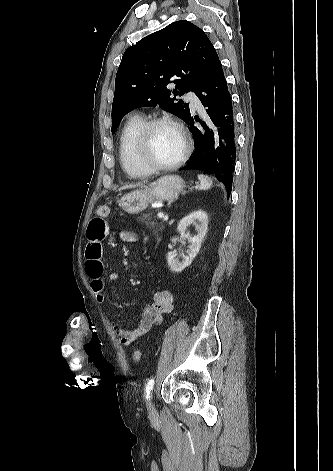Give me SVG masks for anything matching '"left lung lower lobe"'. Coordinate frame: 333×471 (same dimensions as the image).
Masks as SVG:
<instances>
[{
    "instance_id": "left-lung-lower-lobe-1",
    "label": "left lung lower lobe",
    "mask_w": 333,
    "mask_h": 471,
    "mask_svg": "<svg viewBox=\"0 0 333 471\" xmlns=\"http://www.w3.org/2000/svg\"><path fill=\"white\" fill-rule=\"evenodd\" d=\"M195 94L208 108L206 112L211 124L210 127L203 125L204 131H201L194 126L193 117L188 119L186 124L193 134L195 151L180 170L197 169L213 174L225 185L229 197L236 155V124L231 96L217 54Z\"/></svg>"
}]
</instances>
